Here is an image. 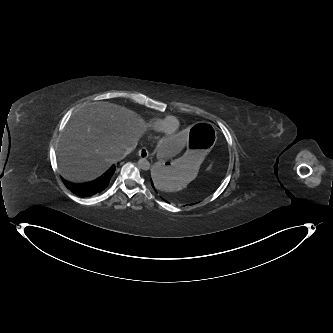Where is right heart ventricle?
I'll return each mask as SVG.
<instances>
[{"instance_id":"e07e8e85","label":"right heart ventricle","mask_w":333,"mask_h":333,"mask_svg":"<svg viewBox=\"0 0 333 333\" xmlns=\"http://www.w3.org/2000/svg\"><path fill=\"white\" fill-rule=\"evenodd\" d=\"M169 116H166V117H163V118H159V117H156V118H151L150 120H148L147 122V127L151 130V131H154V132H158L161 130L162 126H163V123L165 121L166 118H168ZM174 120L176 122V128H179L180 127V121L174 117Z\"/></svg>"}]
</instances>
